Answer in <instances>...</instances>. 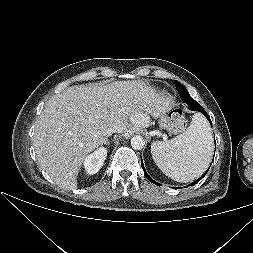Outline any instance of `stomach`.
<instances>
[{"label":"stomach","instance_id":"1","mask_svg":"<svg viewBox=\"0 0 253 253\" xmlns=\"http://www.w3.org/2000/svg\"><path fill=\"white\" fill-rule=\"evenodd\" d=\"M168 115L167 114H165V113H163V114H161L160 115V121H159V124H158V126H159V128L160 129H165L166 128V126H167V120H168ZM144 128V127H143Z\"/></svg>","mask_w":253,"mask_h":253}]
</instances>
